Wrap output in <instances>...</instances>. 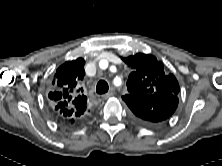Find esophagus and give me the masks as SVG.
Masks as SVG:
<instances>
[{
	"label": "esophagus",
	"mask_w": 222,
	"mask_h": 166,
	"mask_svg": "<svg viewBox=\"0 0 222 166\" xmlns=\"http://www.w3.org/2000/svg\"><path fill=\"white\" fill-rule=\"evenodd\" d=\"M113 94H114L113 90H110L108 93L102 95V98L104 100H106V99L110 98L111 96H113Z\"/></svg>",
	"instance_id": "esophagus-1"
}]
</instances>
